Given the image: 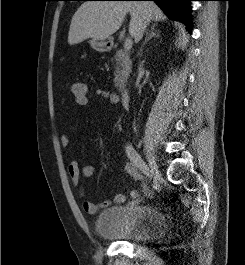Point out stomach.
Listing matches in <instances>:
<instances>
[{
    "mask_svg": "<svg viewBox=\"0 0 245 265\" xmlns=\"http://www.w3.org/2000/svg\"><path fill=\"white\" fill-rule=\"evenodd\" d=\"M90 45L97 52H106L111 48V40L94 38L90 41Z\"/></svg>",
    "mask_w": 245,
    "mask_h": 265,
    "instance_id": "0dacf381",
    "label": "stomach"
}]
</instances>
